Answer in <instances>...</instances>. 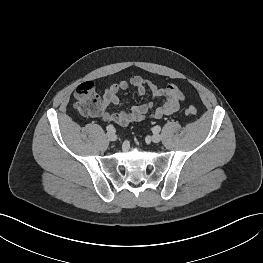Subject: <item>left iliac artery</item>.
Returning <instances> with one entry per match:
<instances>
[{"instance_id": "left-iliac-artery-1", "label": "left iliac artery", "mask_w": 263, "mask_h": 263, "mask_svg": "<svg viewBox=\"0 0 263 263\" xmlns=\"http://www.w3.org/2000/svg\"><path fill=\"white\" fill-rule=\"evenodd\" d=\"M160 130H161V127L158 126V125H157V126H154V128H153V131H154V132H157V133L160 132Z\"/></svg>"}]
</instances>
